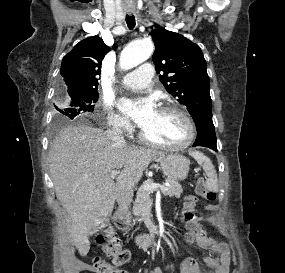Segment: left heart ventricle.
I'll return each mask as SVG.
<instances>
[{
  "instance_id": "b2bd125f",
  "label": "left heart ventricle",
  "mask_w": 285,
  "mask_h": 273,
  "mask_svg": "<svg viewBox=\"0 0 285 273\" xmlns=\"http://www.w3.org/2000/svg\"><path fill=\"white\" fill-rule=\"evenodd\" d=\"M142 129L149 139L165 144L180 143L187 135L186 124L178 114L160 110Z\"/></svg>"
}]
</instances>
